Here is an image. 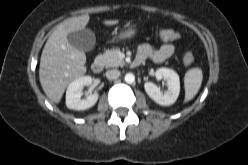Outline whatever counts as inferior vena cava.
I'll return each instance as SVG.
<instances>
[{
	"instance_id": "1",
	"label": "inferior vena cava",
	"mask_w": 248,
	"mask_h": 165,
	"mask_svg": "<svg viewBox=\"0 0 248 165\" xmlns=\"http://www.w3.org/2000/svg\"><path fill=\"white\" fill-rule=\"evenodd\" d=\"M120 76V71L118 70H108L106 72V77L109 79V80H115L117 79L118 77Z\"/></svg>"
}]
</instances>
